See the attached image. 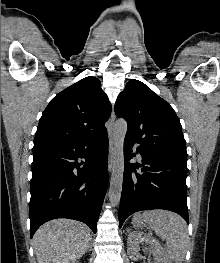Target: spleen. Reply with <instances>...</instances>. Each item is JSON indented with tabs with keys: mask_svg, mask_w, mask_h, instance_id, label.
<instances>
[{
	"mask_svg": "<svg viewBox=\"0 0 220 263\" xmlns=\"http://www.w3.org/2000/svg\"><path fill=\"white\" fill-rule=\"evenodd\" d=\"M157 236L166 240L167 254L182 263L188 248L189 235L187 224L178 214L166 210H151L143 213Z\"/></svg>",
	"mask_w": 220,
	"mask_h": 263,
	"instance_id": "3e777b00",
	"label": "spleen"
}]
</instances>
